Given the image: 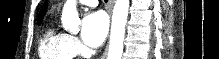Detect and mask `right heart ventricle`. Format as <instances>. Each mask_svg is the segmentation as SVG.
Instances as JSON below:
<instances>
[{"mask_svg":"<svg viewBox=\"0 0 219 59\" xmlns=\"http://www.w3.org/2000/svg\"><path fill=\"white\" fill-rule=\"evenodd\" d=\"M38 54L40 59H73L76 53L71 45V37L50 25L40 38Z\"/></svg>","mask_w":219,"mask_h":59,"instance_id":"right-heart-ventricle-1","label":"right heart ventricle"}]
</instances>
